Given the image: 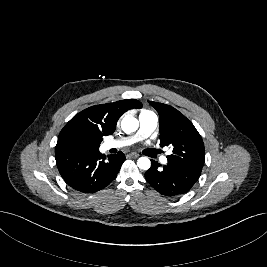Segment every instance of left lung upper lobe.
Instances as JSON below:
<instances>
[{
  "mask_svg": "<svg viewBox=\"0 0 267 267\" xmlns=\"http://www.w3.org/2000/svg\"><path fill=\"white\" fill-rule=\"evenodd\" d=\"M160 118V146H171L168 163L202 171L205 161L203 140L194 125L178 110L167 104L148 101Z\"/></svg>",
  "mask_w": 267,
  "mask_h": 267,
  "instance_id": "obj_1",
  "label": "left lung upper lobe"
}]
</instances>
